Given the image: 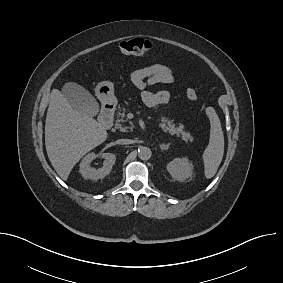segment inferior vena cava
Returning <instances> with one entry per match:
<instances>
[{
    "instance_id": "obj_1",
    "label": "inferior vena cava",
    "mask_w": 283,
    "mask_h": 283,
    "mask_svg": "<svg viewBox=\"0 0 283 283\" xmlns=\"http://www.w3.org/2000/svg\"><path fill=\"white\" fill-rule=\"evenodd\" d=\"M119 143H120V144H130V143H131V140H129V139H120V140H119Z\"/></svg>"
}]
</instances>
